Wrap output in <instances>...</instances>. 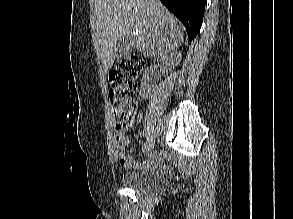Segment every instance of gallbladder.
I'll list each match as a JSON object with an SVG mask.
<instances>
[{
	"label": "gallbladder",
	"instance_id": "gallbladder-1",
	"mask_svg": "<svg viewBox=\"0 0 293 219\" xmlns=\"http://www.w3.org/2000/svg\"><path fill=\"white\" fill-rule=\"evenodd\" d=\"M133 51L132 39L130 35L122 36L117 42L116 58L118 60L128 59Z\"/></svg>",
	"mask_w": 293,
	"mask_h": 219
}]
</instances>
